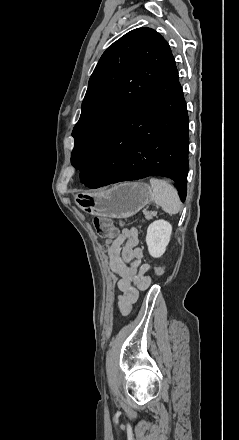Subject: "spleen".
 Here are the masks:
<instances>
[{
	"instance_id": "1",
	"label": "spleen",
	"mask_w": 239,
	"mask_h": 440,
	"mask_svg": "<svg viewBox=\"0 0 239 440\" xmlns=\"http://www.w3.org/2000/svg\"><path fill=\"white\" fill-rule=\"evenodd\" d=\"M150 184L153 190L151 200L157 206H161L167 214H171V216L172 214H178L182 202H180L178 192L174 186L168 184L166 180H156V178H151Z\"/></svg>"
}]
</instances>
